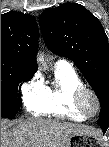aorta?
Segmentation results:
<instances>
[{"label": "aorta", "instance_id": "obj_1", "mask_svg": "<svg viewBox=\"0 0 109 147\" xmlns=\"http://www.w3.org/2000/svg\"><path fill=\"white\" fill-rule=\"evenodd\" d=\"M38 61H43V57L38 56Z\"/></svg>", "mask_w": 109, "mask_h": 147}]
</instances>
